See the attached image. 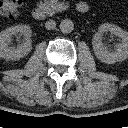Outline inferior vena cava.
I'll return each mask as SVG.
<instances>
[{"label":"inferior vena cava","mask_w":128,"mask_h":128,"mask_svg":"<svg viewBox=\"0 0 128 128\" xmlns=\"http://www.w3.org/2000/svg\"><path fill=\"white\" fill-rule=\"evenodd\" d=\"M45 27H46V29H48V30L55 29V27H56V22H55L54 20H48V21L45 23Z\"/></svg>","instance_id":"inferior-vena-cava-1"}]
</instances>
